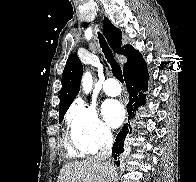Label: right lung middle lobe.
<instances>
[{"instance_id": "dd1d6c3e", "label": "right lung middle lobe", "mask_w": 196, "mask_h": 182, "mask_svg": "<svg viewBox=\"0 0 196 182\" xmlns=\"http://www.w3.org/2000/svg\"><path fill=\"white\" fill-rule=\"evenodd\" d=\"M64 115L63 116H59V123L62 121Z\"/></svg>"}]
</instances>
